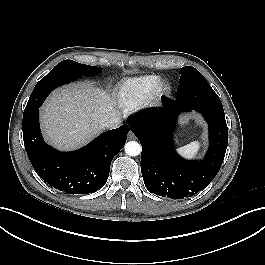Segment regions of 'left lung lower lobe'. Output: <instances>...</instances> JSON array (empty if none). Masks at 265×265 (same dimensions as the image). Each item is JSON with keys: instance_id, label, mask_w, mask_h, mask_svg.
<instances>
[{"instance_id": "left-lung-lower-lobe-1", "label": "left lung lower lobe", "mask_w": 265, "mask_h": 265, "mask_svg": "<svg viewBox=\"0 0 265 265\" xmlns=\"http://www.w3.org/2000/svg\"><path fill=\"white\" fill-rule=\"evenodd\" d=\"M210 93H205L209 95ZM163 107L133 116L128 125L142 145L141 172L149 191L182 199L203 190L214 179L223 162L228 129L225 115L207 108L190 107L166 97ZM200 112L209 126L210 146L204 161L181 158L173 147L172 132L179 113Z\"/></svg>"}]
</instances>
